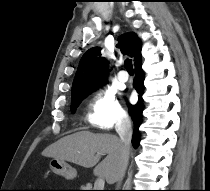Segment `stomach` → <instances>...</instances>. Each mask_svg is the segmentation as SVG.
Instances as JSON below:
<instances>
[{
  "instance_id": "1",
  "label": "stomach",
  "mask_w": 210,
  "mask_h": 191,
  "mask_svg": "<svg viewBox=\"0 0 210 191\" xmlns=\"http://www.w3.org/2000/svg\"><path fill=\"white\" fill-rule=\"evenodd\" d=\"M50 168L51 170L60 176H63L67 180H72L76 178L77 176V171L75 168L70 166L68 163L62 160H58L53 158L50 163Z\"/></svg>"
}]
</instances>
